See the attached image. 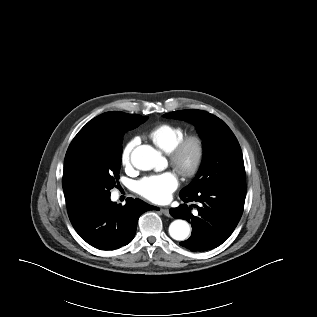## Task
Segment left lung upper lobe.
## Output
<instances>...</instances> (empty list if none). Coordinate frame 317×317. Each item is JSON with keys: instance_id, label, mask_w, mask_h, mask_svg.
I'll list each match as a JSON object with an SVG mask.
<instances>
[{"instance_id": "obj_1", "label": "left lung upper lobe", "mask_w": 317, "mask_h": 317, "mask_svg": "<svg viewBox=\"0 0 317 317\" xmlns=\"http://www.w3.org/2000/svg\"><path fill=\"white\" fill-rule=\"evenodd\" d=\"M165 117L193 123L203 139L204 157L195 179L180 195L197 194L216 184L245 183L240 145L231 129L218 117L202 110L174 111Z\"/></svg>"}]
</instances>
